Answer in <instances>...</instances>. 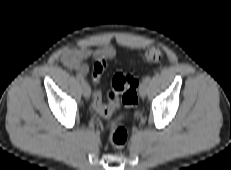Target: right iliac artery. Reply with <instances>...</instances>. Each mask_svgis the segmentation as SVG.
<instances>
[{"instance_id": "right-iliac-artery-1", "label": "right iliac artery", "mask_w": 231, "mask_h": 170, "mask_svg": "<svg viewBox=\"0 0 231 170\" xmlns=\"http://www.w3.org/2000/svg\"><path fill=\"white\" fill-rule=\"evenodd\" d=\"M77 79H79L81 82H84L83 76L77 75Z\"/></svg>"}]
</instances>
